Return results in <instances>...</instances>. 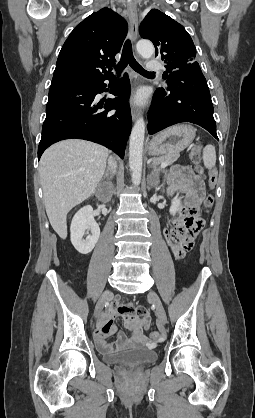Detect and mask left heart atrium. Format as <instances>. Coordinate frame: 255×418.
Wrapping results in <instances>:
<instances>
[{"label":"left heart atrium","instance_id":"left-heart-atrium-1","mask_svg":"<svg viewBox=\"0 0 255 418\" xmlns=\"http://www.w3.org/2000/svg\"><path fill=\"white\" fill-rule=\"evenodd\" d=\"M146 95L143 91H139L135 97L136 102L142 103L145 101Z\"/></svg>","mask_w":255,"mask_h":418}]
</instances>
